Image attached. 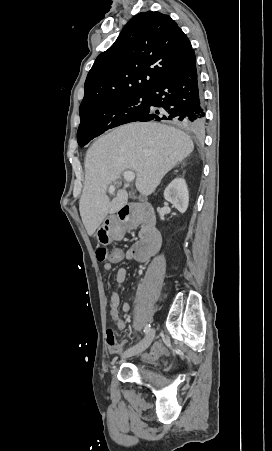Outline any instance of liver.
Instances as JSON below:
<instances>
[{"label":"liver","mask_w":272,"mask_h":451,"mask_svg":"<svg viewBox=\"0 0 272 451\" xmlns=\"http://www.w3.org/2000/svg\"><path fill=\"white\" fill-rule=\"evenodd\" d=\"M194 150L185 132L158 122H133L100 136L85 158V182L79 202L88 235H93L108 214H116L128 202L126 190H118L110 202L106 190L124 170L136 172V188L149 196L167 172Z\"/></svg>","instance_id":"6515ba94"}]
</instances>
